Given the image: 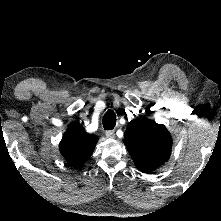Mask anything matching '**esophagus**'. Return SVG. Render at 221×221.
Here are the masks:
<instances>
[{"mask_svg": "<svg viewBox=\"0 0 221 221\" xmlns=\"http://www.w3.org/2000/svg\"><path fill=\"white\" fill-rule=\"evenodd\" d=\"M105 135L107 138L113 139V138H115V131L114 130H107L105 132Z\"/></svg>", "mask_w": 221, "mask_h": 221, "instance_id": "esophagus-1", "label": "esophagus"}]
</instances>
